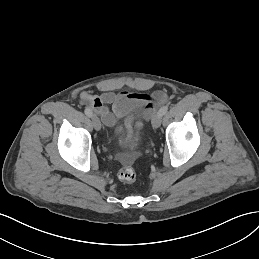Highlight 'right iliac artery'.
<instances>
[{"label":"right iliac artery","mask_w":259,"mask_h":259,"mask_svg":"<svg viewBox=\"0 0 259 259\" xmlns=\"http://www.w3.org/2000/svg\"><path fill=\"white\" fill-rule=\"evenodd\" d=\"M84 112H85V114L88 117H92L93 116V113H92L91 109H89V108H85Z\"/></svg>","instance_id":"1"}]
</instances>
